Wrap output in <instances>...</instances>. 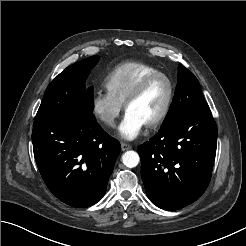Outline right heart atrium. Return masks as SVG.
Masks as SVG:
<instances>
[{"mask_svg": "<svg viewBox=\"0 0 246 246\" xmlns=\"http://www.w3.org/2000/svg\"><path fill=\"white\" fill-rule=\"evenodd\" d=\"M122 110V104L108 92L97 91L91 100V112L103 125L114 127Z\"/></svg>", "mask_w": 246, "mask_h": 246, "instance_id": "d8ad5b80", "label": "right heart atrium"}]
</instances>
